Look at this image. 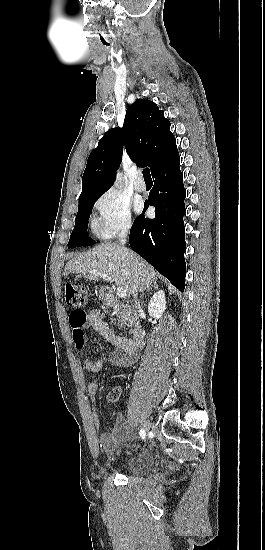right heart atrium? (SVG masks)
<instances>
[{"instance_id":"d8ad5b80","label":"right heart atrium","mask_w":265,"mask_h":550,"mask_svg":"<svg viewBox=\"0 0 265 550\" xmlns=\"http://www.w3.org/2000/svg\"><path fill=\"white\" fill-rule=\"evenodd\" d=\"M95 209L99 215L98 231L102 237L110 239L130 230V203L115 188L107 190L97 199Z\"/></svg>"}]
</instances>
